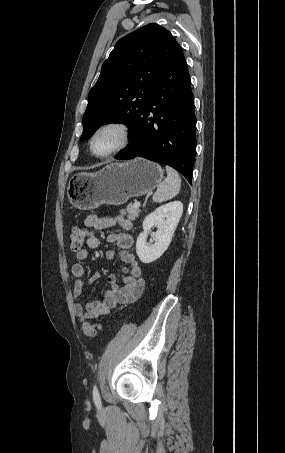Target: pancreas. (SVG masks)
<instances>
[{"mask_svg":"<svg viewBox=\"0 0 285 453\" xmlns=\"http://www.w3.org/2000/svg\"><path fill=\"white\" fill-rule=\"evenodd\" d=\"M141 212L139 207H135L133 204H129L125 210H120L121 216H127L131 221H134L138 218L139 213Z\"/></svg>","mask_w":285,"mask_h":453,"instance_id":"obj_1","label":"pancreas"}]
</instances>
